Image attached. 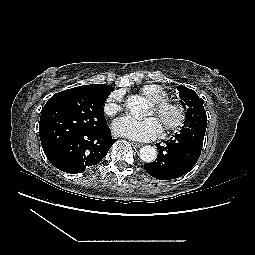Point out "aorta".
Instances as JSON below:
<instances>
[{
    "instance_id": "obj_1",
    "label": "aorta",
    "mask_w": 255,
    "mask_h": 255,
    "mask_svg": "<svg viewBox=\"0 0 255 255\" xmlns=\"http://www.w3.org/2000/svg\"><path fill=\"white\" fill-rule=\"evenodd\" d=\"M127 107L131 115L135 118L142 116L143 100L137 95H131L126 101ZM142 161L151 163L157 158V150L153 146H143L139 151Z\"/></svg>"
}]
</instances>
